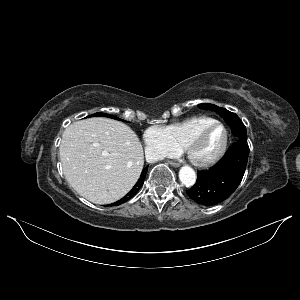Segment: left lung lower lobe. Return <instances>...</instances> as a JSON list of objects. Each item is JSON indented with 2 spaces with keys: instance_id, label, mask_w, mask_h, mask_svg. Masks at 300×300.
Instances as JSON below:
<instances>
[{
  "instance_id": "0a47b994",
  "label": "left lung lower lobe",
  "mask_w": 300,
  "mask_h": 300,
  "mask_svg": "<svg viewBox=\"0 0 300 300\" xmlns=\"http://www.w3.org/2000/svg\"><path fill=\"white\" fill-rule=\"evenodd\" d=\"M248 155L249 146L246 142L236 141L216 166L198 171L195 185L186 193L196 203L204 206L226 200L243 178Z\"/></svg>"
}]
</instances>
